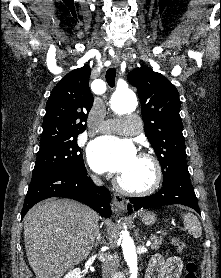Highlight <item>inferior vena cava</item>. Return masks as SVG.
Segmentation results:
<instances>
[{
	"mask_svg": "<svg viewBox=\"0 0 221 278\" xmlns=\"http://www.w3.org/2000/svg\"><path fill=\"white\" fill-rule=\"evenodd\" d=\"M92 178L96 184H101V180L98 177L92 176ZM100 260L102 262V278H115L118 269L116 257L110 254H104L100 257Z\"/></svg>",
	"mask_w": 221,
	"mask_h": 278,
	"instance_id": "inferior-vena-cava-1",
	"label": "inferior vena cava"
}]
</instances>
